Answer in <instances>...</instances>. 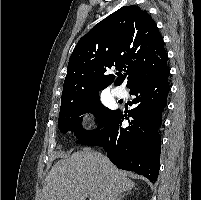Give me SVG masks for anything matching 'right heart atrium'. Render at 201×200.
Masks as SVG:
<instances>
[{
	"mask_svg": "<svg viewBox=\"0 0 201 200\" xmlns=\"http://www.w3.org/2000/svg\"><path fill=\"white\" fill-rule=\"evenodd\" d=\"M83 122H85L87 125H91L92 124V117L91 116L85 117L83 119Z\"/></svg>",
	"mask_w": 201,
	"mask_h": 200,
	"instance_id": "1",
	"label": "right heart atrium"
}]
</instances>
